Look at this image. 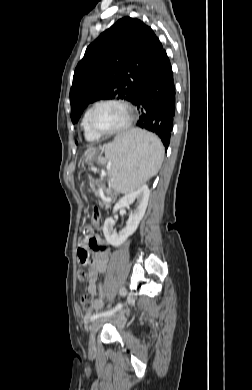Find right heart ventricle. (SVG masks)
<instances>
[{"instance_id":"right-heart-ventricle-1","label":"right heart ventricle","mask_w":252,"mask_h":390,"mask_svg":"<svg viewBox=\"0 0 252 390\" xmlns=\"http://www.w3.org/2000/svg\"><path fill=\"white\" fill-rule=\"evenodd\" d=\"M89 111H90V107L86 109L84 115H83V119H82V128H83V131H84V135H85V138L88 140V141H97L101 138V136H99L98 134L94 133L90 128H89V125H88V115H89Z\"/></svg>"}]
</instances>
